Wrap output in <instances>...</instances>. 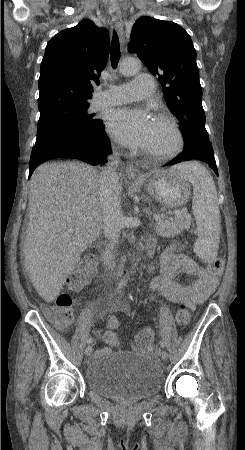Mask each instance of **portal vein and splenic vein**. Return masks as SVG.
I'll return each mask as SVG.
<instances>
[{"instance_id":"1","label":"portal vein and splenic vein","mask_w":245,"mask_h":450,"mask_svg":"<svg viewBox=\"0 0 245 450\" xmlns=\"http://www.w3.org/2000/svg\"><path fill=\"white\" fill-rule=\"evenodd\" d=\"M183 213H187V209H186V208L182 209L181 211H178V212L176 213V215L183 214ZM153 217H154V220H155V221H159V220L161 219V217H160L159 214H154ZM67 231H68L69 233H73L75 230H74L73 228H68Z\"/></svg>"}]
</instances>
